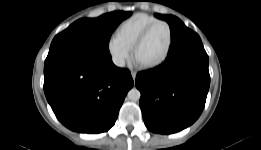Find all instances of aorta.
<instances>
[{
	"instance_id": "obj_1",
	"label": "aorta",
	"mask_w": 261,
	"mask_h": 150,
	"mask_svg": "<svg viewBox=\"0 0 261 150\" xmlns=\"http://www.w3.org/2000/svg\"><path fill=\"white\" fill-rule=\"evenodd\" d=\"M128 98L132 101H138L141 97V93L138 89L132 88L127 94Z\"/></svg>"
}]
</instances>
